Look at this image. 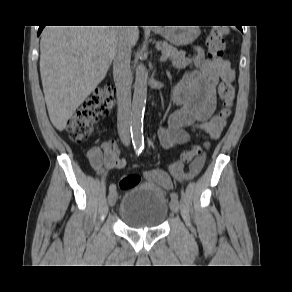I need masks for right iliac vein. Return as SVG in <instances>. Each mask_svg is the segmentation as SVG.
<instances>
[{"label":"right iliac vein","mask_w":292,"mask_h":292,"mask_svg":"<svg viewBox=\"0 0 292 292\" xmlns=\"http://www.w3.org/2000/svg\"><path fill=\"white\" fill-rule=\"evenodd\" d=\"M108 201H109L110 206L115 205V203L117 201V192L116 191H112L109 193Z\"/></svg>","instance_id":"right-iliac-vein-1"}]
</instances>
